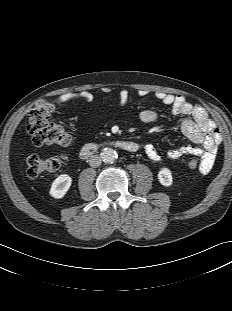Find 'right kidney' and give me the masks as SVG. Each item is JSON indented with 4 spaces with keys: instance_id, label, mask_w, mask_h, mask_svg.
<instances>
[{
    "instance_id": "ca27d5eb",
    "label": "right kidney",
    "mask_w": 232,
    "mask_h": 311,
    "mask_svg": "<svg viewBox=\"0 0 232 311\" xmlns=\"http://www.w3.org/2000/svg\"><path fill=\"white\" fill-rule=\"evenodd\" d=\"M72 184V179L67 174L59 175L52 183L50 189V195L54 198H62L69 190Z\"/></svg>"
}]
</instances>
